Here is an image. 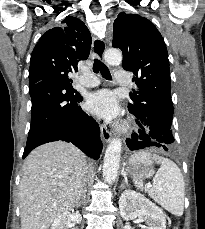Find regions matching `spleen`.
Listing matches in <instances>:
<instances>
[{
    "mask_svg": "<svg viewBox=\"0 0 205 229\" xmlns=\"http://www.w3.org/2000/svg\"><path fill=\"white\" fill-rule=\"evenodd\" d=\"M154 162L160 164L155 173L151 168L144 170L143 175L153 177L152 186L147 185L148 195L170 213L181 216L184 211L185 183L178 166L168 158L157 156L149 152H136L129 159L130 166H151ZM134 184L143 189L141 176L134 177Z\"/></svg>",
    "mask_w": 205,
    "mask_h": 229,
    "instance_id": "1",
    "label": "spleen"
}]
</instances>
